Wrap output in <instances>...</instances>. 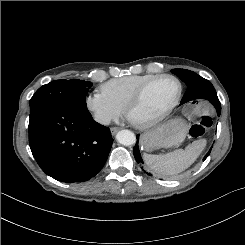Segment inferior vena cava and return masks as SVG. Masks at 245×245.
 <instances>
[{
    "label": "inferior vena cava",
    "mask_w": 245,
    "mask_h": 245,
    "mask_svg": "<svg viewBox=\"0 0 245 245\" xmlns=\"http://www.w3.org/2000/svg\"><path fill=\"white\" fill-rule=\"evenodd\" d=\"M97 121L103 125H109L111 119L109 117H101V118H97Z\"/></svg>",
    "instance_id": "1"
}]
</instances>
